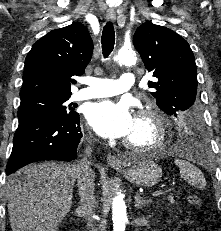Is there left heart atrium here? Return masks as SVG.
I'll return each instance as SVG.
<instances>
[{"mask_svg": "<svg viewBox=\"0 0 221 231\" xmlns=\"http://www.w3.org/2000/svg\"><path fill=\"white\" fill-rule=\"evenodd\" d=\"M87 120L97 134L104 138H124L133 130L135 118L128 104L104 100L92 104Z\"/></svg>", "mask_w": 221, "mask_h": 231, "instance_id": "left-heart-atrium-1", "label": "left heart atrium"}]
</instances>
